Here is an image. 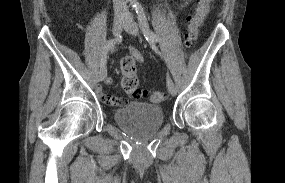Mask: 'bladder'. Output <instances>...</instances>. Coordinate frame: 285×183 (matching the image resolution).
I'll return each mask as SVG.
<instances>
[{
	"label": "bladder",
	"instance_id": "31cf9c89",
	"mask_svg": "<svg viewBox=\"0 0 285 183\" xmlns=\"http://www.w3.org/2000/svg\"><path fill=\"white\" fill-rule=\"evenodd\" d=\"M115 122L134 133L158 130L164 123L163 108L148 103H129L114 112Z\"/></svg>",
	"mask_w": 285,
	"mask_h": 183
}]
</instances>
